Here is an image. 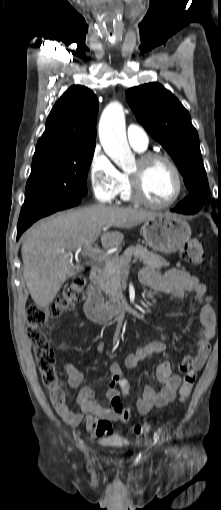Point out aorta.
<instances>
[{"label":"aorta","instance_id":"aorta-1","mask_svg":"<svg viewBox=\"0 0 221 510\" xmlns=\"http://www.w3.org/2000/svg\"><path fill=\"white\" fill-rule=\"evenodd\" d=\"M99 139L106 154L122 168L134 161L125 132V114L118 102L110 103L99 121Z\"/></svg>","mask_w":221,"mask_h":510}]
</instances>
